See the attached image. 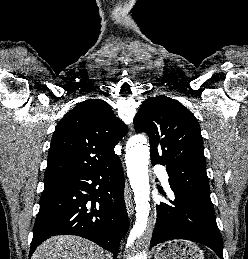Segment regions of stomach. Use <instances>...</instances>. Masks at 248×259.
<instances>
[{
  "label": "stomach",
  "instance_id": "1",
  "mask_svg": "<svg viewBox=\"0 0 248 259\" xmlns=\"http://www.w3.org/2000/svg\"><path fill=\"white\" fill-rule=\"evenodd\" d=\"M154 259H204V254L193 242L174 240L159 246Z\"/></svg>",
  "mask_w": 248,
  "mask_h": 259
}]
</instances>
